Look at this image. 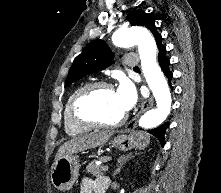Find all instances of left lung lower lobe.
Instances as JSON below:
<instances>
[{
    "label": "left lung lower lobe",
    "mask_w": 221,
    "mask_h": 193,
    "mask_svg": "<svg viewBox=\"0 0 221 193\" xmlns=\"http://www.w3.org/2000/svg\"><path fill=\"white\" fill-rule=\"evenodd\" d=\"M157 46H158V51H159L158 62L160 64V67L163 73L168 78V82L171 83L173 74L169 70V59L166 56V48L161 43H159ZM168 125H169L168 123H165L155 129L149 130V133H151L152 135H155L160 140L162 146L164 145V133Z\"/></svg>",
    "instance_id": "1"
}]
</instances>
